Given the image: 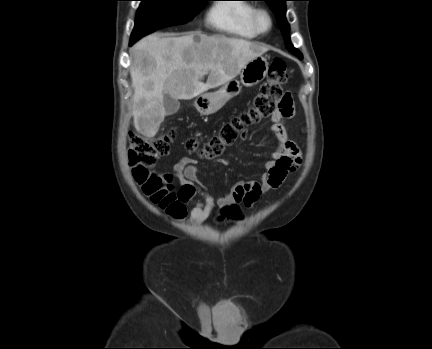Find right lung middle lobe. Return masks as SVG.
Instances as JSON below:
<instances>
[{
	"label": "right lung middle lobe",
	"instance_id": "dd1d6c3e",
	"mask_svg": "<svg viewBox=\"0 0 432 349\" xmlns=\"http://www.w3.org/2000/svg\"><path fill=\"white\" fill-rule=\"evenodd\" d=\"M142 1L131 35L130 45L157 29L184 24L192 20L207 0H140Z\"/></svg>",
	"mask_w": 432,
	"mask_h": 349
}]
</instances>
